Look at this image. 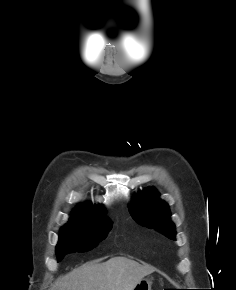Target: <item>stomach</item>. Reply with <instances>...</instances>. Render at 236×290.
<instances>
[{
  "instance_id": "1",
  "label": "stomach",
  "mask_w": 236,
  "mask_h": 290,
  "mask_svg": "<svg viewBox=\"0 0 236 290\" xmlns=\"http://www.w3.org/2000/svg\"><path fill=\"white\" fill-rule=\"evenodd\" d=\"M152 278L142 279L133 290H151Z\"/></svg>"
}]
</instances>
